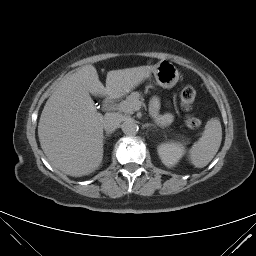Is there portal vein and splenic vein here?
<instances>
[{"instance_id": "portal-vein-and-splenic-vein-1", "label": "portal vein and splenic vein", "mask_w": 256, "mask_h": 256, "mask_svg": "<svg viewBox=\"0 0 256 256\" xmlns=\"http://www.w3.org/2000/svg\"><path fill=\"white\" fill-rule=\"evenodd\" d=\"M135 110H139L140 109V103L136 104L134 107Z\"/></svg>"}]
</instances>
